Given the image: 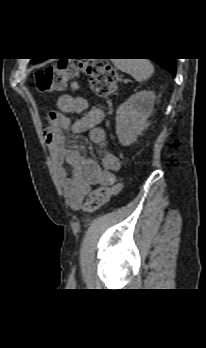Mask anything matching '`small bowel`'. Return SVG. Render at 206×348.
<instances>
[{
  "mask_svg": "<svg viewBox=\"0 0 206 348\" xmlns=\"http://www.w3.org/2000/svg\"><path fill=\"white\" fill-rule=\"evenodd\" d=\"M72 90L78 89L73 83ZM57 111L47 114L44 128V140L49 147L55 173L64 188L66 200L73 210H79L86 195L94 185L112 186L116 182V173L121 168L120 159L113 153L104 152L101 165L84 158L78 150L67 146L64 130L70 127L73 134L88 132L91 143L103 146L106 135L99 124L103 121L104 111L100 107L88 109L87 100L71 93L62 94L57 99ZM83 114L70 123L67 114ZM65 165L72 169L68 175Z\"/></svg>",
  "mask_w": 206,
  "mask_h": 348,
  "instance_id": "1",
  "label": "small bowel"
}]
</instances>
